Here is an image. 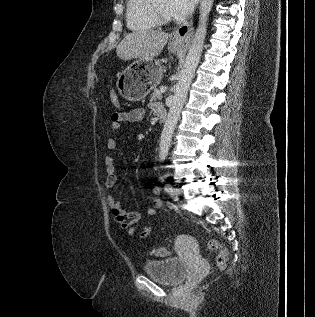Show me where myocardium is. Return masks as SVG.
<instances>
[{
    "label": "myocardium",
    "instance_id": "obj_1",
    "mask_svg": "<svg viewBox=\"0 0 315 317\" xmlns=\"http://www.w3.org/2000/svg\"><path fill=\"white\" fill-rule=\"evenodd\" d=\"M151 12L158 25H168L172 22L170 17H167L160 12L154 2H151Z\"/></svg>",
    "mask_w": 315,
    "mask_h": 317
}]
</instances>
